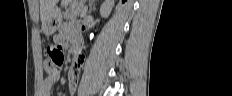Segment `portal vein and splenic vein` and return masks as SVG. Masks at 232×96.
I'll list each match as a JSON object with an SVG mask.
<instances>
[{
    "label": "portal vein and splenic vein",
    "instance_id": "obj_1",
    "mask_svg": "<svg viewBox=\"0 0 232 96\" xmlns=\"http://www.w3.org/2000/svg\"><path fill=\"white\" fill-rule=\"evenodd\" d=\"M86 14V8L83 9L82 11V16Z\"/></svg>",
    "mask_w": 232,
    "mask_h": 96
}]
</instances>
